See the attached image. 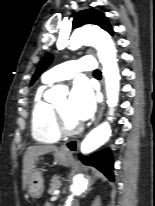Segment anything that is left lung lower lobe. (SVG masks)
<instances>
[{
  "mask_svg": "<svg viewBox=\"0 0 155 206\" xmlns=\"http://www.w3.org/2000/svg\"><path fill=\"white\" fill-rule=\"evenodd\" d=\"M80 158L84 163L95 166L102 171L107 178L113 180V160L109 149H104L86 158L80 155Z\"/></svg>",
  "mask_w": 155,
  "mask_h": 206,
  "instance_id": "obj_1",
  "label": "left lung lower lobe"
}]
</instances>
